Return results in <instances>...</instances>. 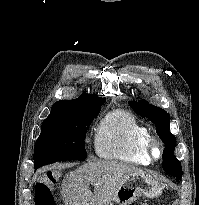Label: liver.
I'll use <instances>...</instances> for the list:
<instances>
[{
	"instance_id": "liver-1",
	"label": "liver",
	"mask_w": 199,
	"mask_h": 205,
	"mask_svg": "<svg viewBox=\"0 0 199 205\" xmlns=\"http://www.w3.org/2000/svg\"><path fill=\"white\" fill-rule=\"evenodd\" d=\"M145 174L127 163L98 160L70 171L61 184L65 205H108L114 200L122 180L128 175ZM94 186V192L90 189Z\"/></svg>"
}]
</instances>
